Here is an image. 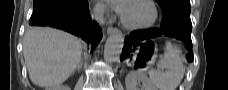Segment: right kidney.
Wrapping results in <instances>:
<instances>
[{
	"instance_id": "obj_1",
	"label": "right kidney",
	"mask_w": 228,
	"mask_h": 90,
	"mask_svg": "<svg viewBox=\"0 0 228 90\" xmlns=\"http://www.w3.org/2000/svg\"><path fill=\"white\" fill-rule=\"evenodd\" d=\"M47 90H70L68 86H54L52 88H48Z\"/></svg>"
}]
</instances>
